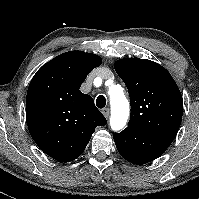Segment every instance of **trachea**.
I'll list each match as a JSON object with an SVG mask.
<instances>
[{
	"instance_id": "3493384b",
	"label": "trachea",
	"mask_w": 199,
	"mask_h": 199,
	"mask_svg": "<svg viewBox=\"0 0 199 199\" xmlns=\"http://www.w3.org/2000/svg\"><path fill=\"white\" fill-rule=\"evenodd\" d=\"M96 105L98 108L102 109L106 105V99L103 95H99L96 99Z\"/></svg>"
}]
</instances>
